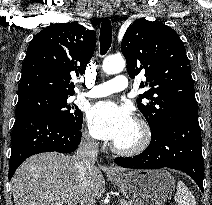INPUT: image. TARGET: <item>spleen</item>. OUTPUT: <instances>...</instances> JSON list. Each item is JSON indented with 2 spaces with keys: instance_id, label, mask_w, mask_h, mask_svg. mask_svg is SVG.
Masks as SVG:
<instances>
[{
  "instance_id": "1",
  "label": "spleen",
  "mask_w": 212,
  "mask_h": 205,
  "mask_svg": "<svg viewBox=\"0 0 212 205\" xmlns=\"http://www.w3.org/2000/svg\"><path fill=\"white\" fill-rule=\"evenodd\" d=\"M174 200L178 205H196L195 198L183 181L177 184V193Z\"/></svg>"
}]
</instances>
